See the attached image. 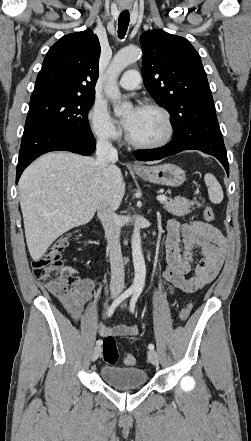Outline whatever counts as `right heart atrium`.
Masks as SVG:
<instances>
[{
	"instance_id": "right-heart-atrium-1",
	"label": "right heart atrium",
	"mask_w": 251,
	"mask_h": 441,
	"mask_svg": "<svg viewBox=\"0 0 251 441\" xmlns=\"http://www.w3.org/2000/svg\"><path fill=\"white\" fill-rule=\"evenodd\" d=\"M89 122L93 134L103 141H114L120 136L116 122L110 116L106 106L95 102L89 112Z\"/></svg>"
}]
</instances>
